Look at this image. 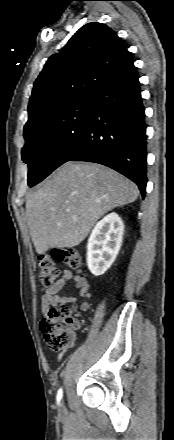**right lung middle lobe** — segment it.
I'll use <instances>...</instances> for the list:
<instances>
[{
    "label": "right lung middle lobe",
    "mask_w": 174,
    "mask_h": 440,
    "mask_svg": "<svg viewBox=\"0 0 174 440\" xmlns=\"http://www.w3.org/2000/svg\"><path fill=\"white\" fill-rule=\"evenodd\" d=\"M93 105L92 95L82 97L24 129L21 153L30 187L66 162L85 134Z\"/></svg>",
    "instance_id": "obj_1"
}]
</instances>
